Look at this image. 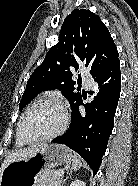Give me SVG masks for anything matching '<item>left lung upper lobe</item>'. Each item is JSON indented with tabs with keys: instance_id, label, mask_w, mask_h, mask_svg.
<instances>
[{
	"instance_id": "obj_1",
	"label": "left lung upper lobe",
	"mask_w": 138,
	"mask_h": 186,
	"mask_svg": "<svg viewBox=\"0 0 138 186\" xmlns=\"http://www.w3.org/2000/svg\"><path fill=\"white\" fill-rule=\"evenodd\" d=\"M117 59V48L100 17L86 9H74L63 22L59 42L29 78L19 109L48 89L62 90L72 106L81 97L72 80L79 65L89 67L93 77Z\"/></svg>"
}]
</instances>
